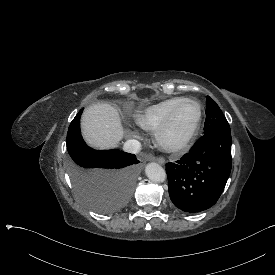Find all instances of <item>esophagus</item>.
Segmentation results:
<instances>
[{"label": "esophagus", "instance_id": "1", "mask_svg": "<svg viewBox=\"0 0 275 275\" xmlns=\"http://www.w3.org/2000/svg\"><path fill=\"white\" fill-rule=\"evenodd\" d=\"M156 162H158L161 165H164L166 160L164 157H158V158H156Z\"/></svg>", "mask_w": 275, "mask_h": 275}]
</instances>
